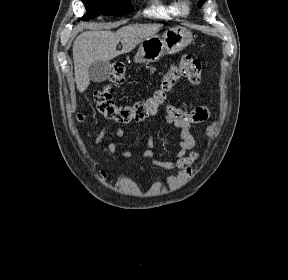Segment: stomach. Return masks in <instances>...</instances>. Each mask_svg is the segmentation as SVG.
<instances>
[{"instance_id":"0dacf381","label":"stomach","mask_w":288,"mask_h":280,"mask_svg":"<svg viewBox=\"0 0 288 280\" xmlns=\"http://www.w3.org/2000/svg\"><path fill=\"white\" fill-rule=\"evenodd\" d=\"M192 33L181 26L169 27L161 36L154 35L142 40L134 57L136 63H153L165 54H175L188 46Z\"/></svg>"}]
</instances>
